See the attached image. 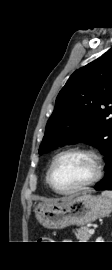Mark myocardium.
<instances>
[{
    "mask_svg": "<svg viewBox=\"0 0 112 270\" xmlns=\"http://www.w3.org/2000/svg\"><path fill=\"white\" fill-rule=\"evenodd\" d=\"M67 154H82V155L88 156L93 161L95 171L92 178L88 180L87 182L69 190H61V189H58L53 183L52 171L56 162L62 156L67 155ZM103 175H104V161H103L102 156L98 152L89 148L72 147V148H67L60 151L53 157L46 173V180L49 186L51 187V189L55 193L60 194V195H72V194L79 193L81 191H84L92 187L93 185H95L102 179Z\"/></svg>",
    "mask_w": 112,
    "mask_h": 270,
    "instance_id": "f54148a6",
    "label": "myocardium"
}]
</instances>
